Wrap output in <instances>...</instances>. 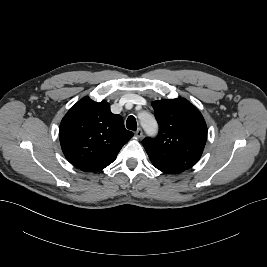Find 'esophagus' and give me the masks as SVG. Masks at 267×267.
Here are the masks:
<instances>
[{"mask_svg":"<svg viewBox=\"0 0 267 267\" xmlns=\"http://www.w3.org/2000/svg\"><path fill=\"white\" fill-rule=\"evenodd\" d=\"M135 136L137 138H141L143 136V131L141 128H138L136 131H135Z\"/></svg>","mask_w":267,"mask_h":267,"instance_id":"obj_1","label":"esophagus"}]
</instances>
